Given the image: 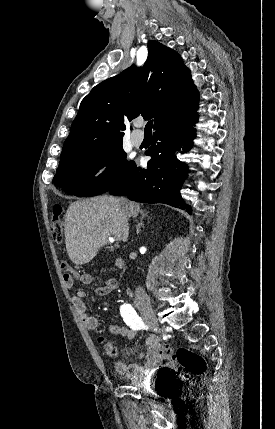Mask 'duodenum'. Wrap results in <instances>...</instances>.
<instances>
[{
	"instance_id": "1",
	"label": "duodenum",
	"mask_w": 275,
	"mask_h": 429,
	"mask_svg": "<svg viewBox=\"0 0 275 429\" xmlns=\"http://www.w3.org/2000/svg\"><path fill=\"white\" fill-rule=\"evenodd\" d=\"M117 265L119 268H123L124 267V262L122 260H118Z\"/></svg>"
}]
</instances>
